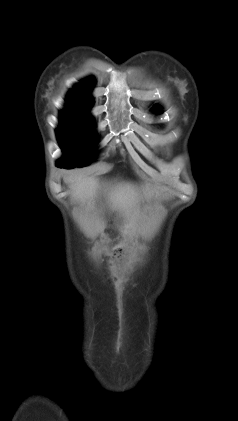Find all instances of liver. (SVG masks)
Segmentation results:
<instances>
[{
    "instance_id": "liver-1",
    "label": "liver",
    "mask_w": 238,
    "mask_h": 421,
    "mask_svg": "<svg viewBox=\"0 0 238 421\" xmlns=\"http://www.w3.org/2000/svg\"><path fill=\"white\" fill-rule=\"evenodd\" d=\"M74 189L73 197L81 202L92 198L101 187L94 177L80 176L71 181ZM108 199L112 207L121 213H128L138 199V192L131 184L119 183L106 188ZM152 194L148 195L151 198Z\"/></svg>"
}]
</instances>
